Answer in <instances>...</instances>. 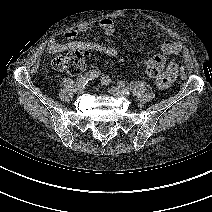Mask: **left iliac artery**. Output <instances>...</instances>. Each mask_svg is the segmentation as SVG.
I'll return each mask as SVG.
<instances>
[{"label": "left iliac artery", "instance_id": "left-iliac-artery-1", "mask_svg": "<svg viewBox=\"0 0 212 212\" xmlns=\"http://www.w3.org/2000/svg\"><path fill=\"white\" fill-rule=\"evenodd\" d=\"M101 82L102 84L104 85H109L111 82H112V79L107 76V75H104L102 78H101ZM116 85L117 87L125 94H129V89H128V86L123 82V81H117L116 82Z\"/></svg>", "mask_w": 212, "mask_h": 212}]
</instances>
